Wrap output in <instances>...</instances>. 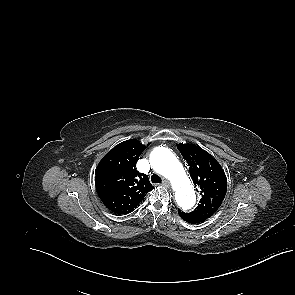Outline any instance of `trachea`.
I'll use <instances>...</instances> for the list:
<instances>
[{"mask_svg": "<svg viewBox=\"0 0 295 295\" xmlns=\"http://www.w3.org/2000/svg\"><path fill=\"white\" fill-rule=\"evenodd\" d=\"M151 181H152V183H161L162 179L160 176L153 174L151 176Z\"/></svg>", "mask_w": 295, "mask_h": 295, "instance_id": "obj_1", "label": "trachea"}]
</instances>
